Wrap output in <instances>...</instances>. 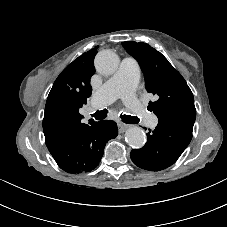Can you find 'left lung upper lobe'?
<instances>
[{
    "label": "left lung upper lobe",
    "mask_w": 227,
    "mask_h": 227,
    "mask_svg": "<svg viewBox=\"0 0 227 227\" xmlns=\"http://www.w3.org/2000/svg\"><path fill=\"white\" fill-rule=\"evenodd\" d=\"M140 64L146 90L156 96L149 109L163 122L190 133L196 118L193 94L181 74L163 54L143 42H122Z\"/></svg>",
    "instance_id": "5c2ea615"
}]
</instances>
